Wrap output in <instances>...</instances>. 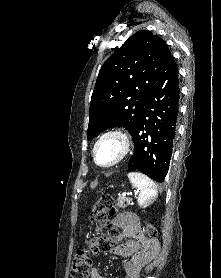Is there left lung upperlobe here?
<instances>
[{
	"label": "left lung upper lobe",
	"mask_w": 221,
	"mask_h": 278,
	"mask_svg": "<svg viewBox=\"0 0 221 278\" xmlns=\"http://www.w3.org/2000/svg\"><path fill=\"white\" fill-rule=\"evenodd\" d=\"M102 65L91 97L87 139L124 126L132 134L146 98L172 58L166 43L150 31L132 35Z\"/></svg>",
	"instance_id": "1"
}]
</instances>
